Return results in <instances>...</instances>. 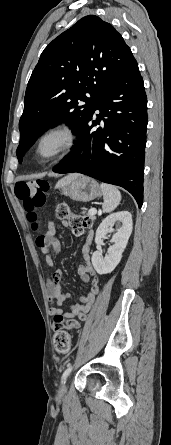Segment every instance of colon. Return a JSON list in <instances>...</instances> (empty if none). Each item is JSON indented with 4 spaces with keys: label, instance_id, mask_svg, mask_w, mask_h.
<instances>
[{
    "label": "colon",
    "instance_id": "obj_1",
    "mask_svg": "<svg viewBox=\"0 0 171 445\" xmlns=\"http://www.w3.org/2000/svg\"><path fill=\"white\" fill-rule=\"evenodd\" d=\"M48 190L49 184L43 180L19 182L16 184V196L31 219L36 217V210L44 206ZM56 216L64 225L68 226L76 236L84 234L91 224L88 216L72 213L66 203L58 205ZM56 321L58 323L62 322L61 319H57ZM53 342L54 348L58 353H66L70 349V335L61 327L55 332Z\"/></svg>",
    "mask_w": 171,
    "mask_h": 445
}]
</instances>
